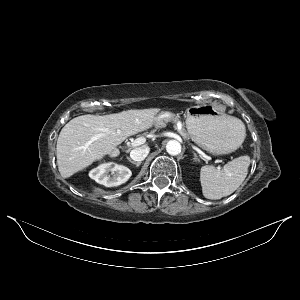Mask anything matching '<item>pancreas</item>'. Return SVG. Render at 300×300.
<instances>
[{
    "label": "pancreas",
    "instance_id": "pancreas-1",
    "mask_svg": "<svg viewBox=\"0 0 300 300\" xmlns=\"http://www.w3.org/2000/svg\"><path fill=\"white\" fill-rule=\"evenodd\" d=\"M165 121H170V119H166ZM181 133H182L183 135L187 136V133H186L183 129L181 130Z\"/></svg>",
    "mask_w": 300,
    "mask_h": 300
}]
</instances>
